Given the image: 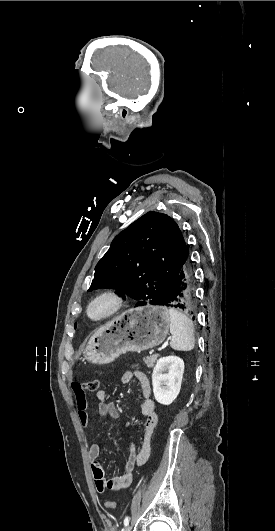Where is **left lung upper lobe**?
<instances>
[{
  "label": "left lung upper lobe",
  "mask_w": 275,
  "mask_h": 531,
  "mask_svg": "<svg viewBox=\"0 0 275 531\" xmlns=\"http://www.w3.org/2000/svg\"><path fill=\"white\" fill-rule=\"evenodd\" d=\"M187 258L177 223L166 214L148 212L114 238L88 291L109 287L123 299L137 300L135 306L161 305Z\"/></svg>",
  "instance_id": "left-lung-upper-lobe-1"
}]
</instances>
